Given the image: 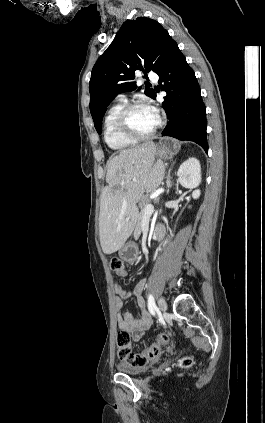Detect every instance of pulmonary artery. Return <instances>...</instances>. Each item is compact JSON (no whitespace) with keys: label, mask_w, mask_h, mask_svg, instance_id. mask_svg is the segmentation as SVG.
<instances>
[{"label":"pulmonary artery","mask_w":265,"mask_h":423,"mask_svg":"<svg viewBox=\"0 0 265 423\" xmlns=\"http://www.w3.org/2000/svg\"><path fill=\"white\" fill-rule=\"evenodd\" d=\"M149 78H150V79H156V78H157V74H155V73L151 72V73L149 74ZM120 99H121V100H124V96H123V95H120Z\"/></svg>","instance_id":"e3ab8cb5"}]
</instances>
